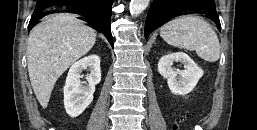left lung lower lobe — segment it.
I'll return each mask as SVG.
<instances>
[{
    "mask_svg": "<svg viewBox=\"0 0 257 130\" xmlns=\"http://www.w3.org/2000/svg\"><path fill=\"white\" fill-rule=\"evenodd\" d=\"M190 13H198L213 20L221 29L214 0H155L146 18L145 38L170 19Z\"/></svg>",
    "mask_w": 257,
    "mask_h": 130,
    "instance_id": "1",
    "label": "left lung lower lobe"
}]
</instances>
